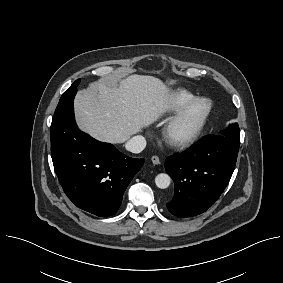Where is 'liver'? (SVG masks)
Masks as SVG:
<instances>
[{
  "label": "liver",
  "instance_id": "obj_1",
  "mask_svg": "<svg viewBox=\"0 0 283 283\" xmlns=\"http://www.w3.org/2000/svg\"><path fill=\"white\" fill-rule=\"evenodd\" d=\"M169 88L158 78L131 75L113 82H93L77 93L78 126L97 140L124 143L157 121L170 107Z\"/></svg>",
  "mask_w": 283,
  "mask_h": 283
}]
</instances>
